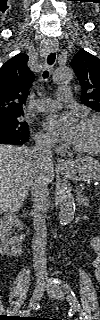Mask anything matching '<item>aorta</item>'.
I'll return each mask as SVG.
<instances>
[{
	"mask_svg": "<svg viewBox=\"0 0 100 320\" xmlns=\"http://www.w3.org/2000/svg\"><path fill=\"white\" fill-rule=\"evenodd\" d=\"M72 71L68 67H60L54 71L53 80L57 84L68 83L72 79ZM59 202V221L60 224L66 225L70 223L75 214V200L70 191L66 187H61L58 192Z\"/></svg>",
	"mask_w": 100,
	"mask_h": 320,
	"instance_id": "1",
	"label": "aorta"
}]
</instances>
